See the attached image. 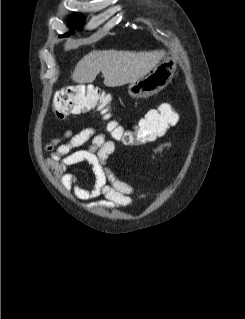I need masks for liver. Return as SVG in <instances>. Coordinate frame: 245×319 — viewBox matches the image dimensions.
I'll list each match as a JSON object with an SVG mask.
<instances>
[{
	"label": "liver",
	"instance_id": "liver-1",
	"mask_svg": "<svg viewBox=\"0 0 245 319\" xmlns=\"http://www.w3.org/2000/svg\"><path fill=\"white\" fill-rule=\"evenodd\" d=\"M164 55L163 50H94L76 64L71 77L75 83H92L102 72L106 86L119 87L143 77Z\"/></svg>",
	"mask_w": 245,
	"mask_h": 319
}]
</instances>
